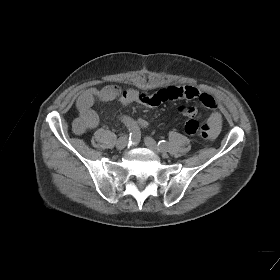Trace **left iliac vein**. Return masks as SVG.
Instances as JSON below:
<instances>
[{
    "label": "left iliac vein",
    "instance_id": "4c4485c4",
    "mask_svg": "<svg viewBox=\"0 0 280 280\" xmlns=\"http://www.w3.org/2000/svg\"><path fill=\"white\" fill-rule=\"evenodd\" d=\"M144 142H145V145L147 146V148H149L156 154H159L164 151L162 148H160L159 145H157L155 140L152 139L151 137H145Z\"/></svg>",
    "mask_w": 280,
    "mask_h": 280
}]
</instances>
